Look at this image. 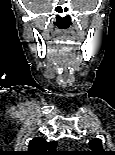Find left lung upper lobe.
<instances>
[{
  "instance_id": "obj_1",
  "label": "left lung upper lobe",
  "mask_w": 115,
  "mask_h": 155,
  "mask_svg": "<svg viewBox=\"0 0 115 155\" xmlns=\"http://www.w3.org/2000/svg\"><path fill=\"white\" fill-rule=\"evenodd\" d=\"M89 146L91 148V152L89 155H108V152L105 151L102 147V141L98 138L92 139L89 142Z\"/></svg>"
}]
</instances>
